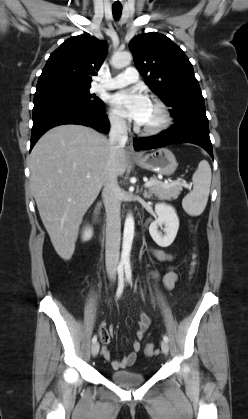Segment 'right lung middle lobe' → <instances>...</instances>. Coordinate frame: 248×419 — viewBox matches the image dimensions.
Returning a JSON list of instances; mask_svg holds the SVG:
<instances>
[{"label":"right lung middle lobe","mask_w":248,"mask_h":419,"mask_svg":"<svg viewBox=\"0 0 248 419\" xmlns=\"http://www.w3.org/2000/svg\"><path fill=\"white\" fill-rule=\"evenodd\" d=\"M89 89L90 88H63L37 92L34 95V104L45 101L66 100L82 103L98 110L103 109V101L91 95Z\"/></svg>","instance_id":"right-lung-middle-lobe-1"}]
</instances>
